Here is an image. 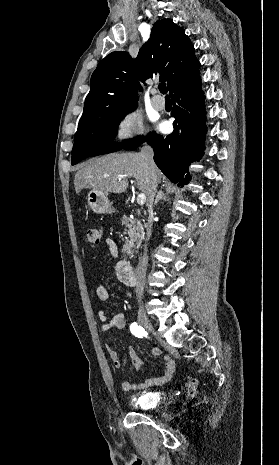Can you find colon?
Returning <instances> with one entry per match:
<instances>
[{
  "mask_svg": "<svg viewBox=\"0 0 279 465\" xmlns=\"http://www.w3.org/2000/svg\"><path fill=\"white\" fill-rule=\"evenodd\" d=\"M102 232L98 228H90L86 231V240L92 247H98L101 242ZM197 381L192 379L189 381L188 386L190 393L193 394L196 390Z\"/></svg>",
  "mask_w": 279,
  "mask_h": 465,
  "instance_id": "1",
  "label": "colon"
}]
</instances>
